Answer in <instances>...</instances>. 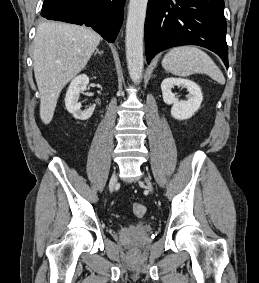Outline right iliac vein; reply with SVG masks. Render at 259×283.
Instances as JSON below:
<instances>
[{
	"instance_id": "obj_1",
	"label": "right iliac vein",
	"mask_w": 259,
	"mask_h": 283,
	"mask_svg": "<svg viewBox=\"0 0 259 283\" xmlns=\"http://www.w3.org/2000/svg\"><path fill=\"white\" fill-rule=\"evenodd\" d=\"M117 185V174L116 172H114L110 178V181H109V189L111 192H113L114 188L116 187Z\"/></svg>"
}]
</instances>
